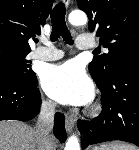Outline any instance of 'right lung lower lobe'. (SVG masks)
Instances as JSON below:
<instances>
[{
  "instance_id": "1",
  "label": "right lung lower lobe",
  "mask_w": 139,
  "mask_h": 150,
  "mask_svg": "<svg viewBox=\"0 0 139 150\" xmlns=\"http://www.w3.org/2000/svg\"><path fill=\"white\" fill-rule=\"evenodd\" d=\"M41 105V95L37 88V79L23 82L8 76H0V120L27 121L35 117ZM55 136L66 140L64 116L55 114Z\"/></svg>"
}]
</instances>
